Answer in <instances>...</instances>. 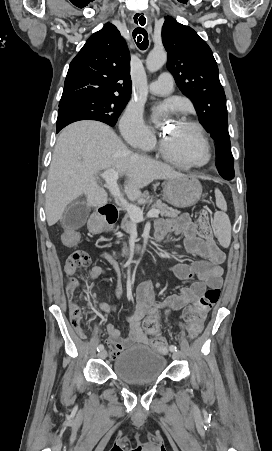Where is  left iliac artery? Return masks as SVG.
Segmentation results:
<instances>
[{"label": "left iliac artery", "mask_w": 272, "mask_h": 451, "mask_svg": "<svg viewBox=\"0 0 272 451\" xmlns=\"http://www.w3.org/2000/svg\"><path fill=\"white\" fill-rule=\"evenodd\" d=\"M169 349H170L171 352H176V351H177V347L174 346V345H171V346L169 347Z\"/></svg>", "instance_id": "1"}]
</instances>
